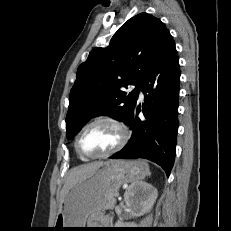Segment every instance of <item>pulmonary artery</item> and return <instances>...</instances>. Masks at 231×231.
Wrapping results in <instances>:
<instances>
[{"instance_id":"obj_1","label":"pulmonary artery","mask_w":231,"mask_h":231,"mask_svg":"<svg viewBox=\"0 0 231 231\" xmlns=\"http://www.w3.org/2000/svg\"><path fill=\"white\" fill-rule=\"evenodd\" d=\"M139 96H140V98H141V99H143V98H144V93H143V91H142V90H140V91H139Z\"/></svg>"}]
</instances>
